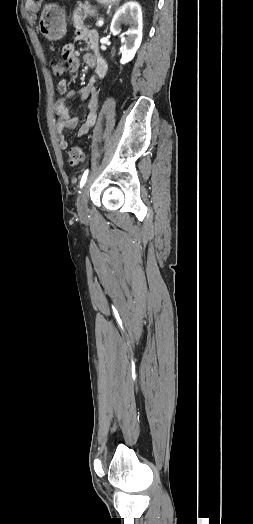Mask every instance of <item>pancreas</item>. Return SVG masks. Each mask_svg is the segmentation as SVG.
Segmentation results:
<instances>
[{
	"label": "pancreas",
	"instance_id": "pancreas-1",
	"mask_svg": "<svg viewBox=\"0 0 253 524\" xmlns=\"http://www.w3.org/2000/svg\"><path fill=\"white\" fill-rule=\"evenodd\" d=\"M97 15V8L92 7L88 3H79L78 6L73 11L74 19H85L87 16Z\"/></svg>",
	"mask_w": 253,
	"mask_h": 524
}]
</instances>
